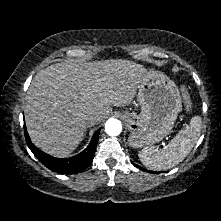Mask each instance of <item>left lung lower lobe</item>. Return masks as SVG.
Here are the masks:
<instances>
[{
	"label": "left lung lower lobe",
	"instance_id": "obj_1",
	"mask_svg": "<svg viewBox=\"0 0 221 221\" xmlns=\"http://www.w3.org/2000/svg\"><path fill=\"white\" fill-rule=\"evenodd\" d=\"M132 163H133V162H132ZM133 165L136 166V167L139 168V169L144 170V171L151 172V173H156V172H153V171H149V170L143 169V168L139 167L138 165H136L135 163H133Z\"/></svg>",
	"mask_w": 221,
	"mask_h": 221
}]
</instances>
